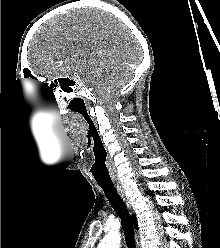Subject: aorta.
<instances>
[{
    "label": "aorta",
    "instance_id": "aorta-1",
    "mask_svg": "<svg viewBox=\"0 0 220 248\" xmlns=\"http://www.w3.org/2000/svg\"><path fill=\"white\" fill-rule=\"evenodd\" d=\"M121 237L119 233H108L98 248H120Z\"/></svg>",
    "mask_w": 220,
    "mask_h": 248
}]
</instances>
